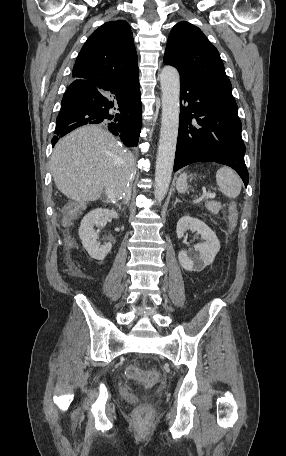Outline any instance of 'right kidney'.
<instances>
[{
	"mask_svg": "<svg viewBox=\"0 0 286 456\" xmlns=\"http://www.w3.org/2000/svg\"><path fill=\"white\" fill-rule=\"evenodd\" d=\"M112 218H118L116 211L97 208L85 215L81 221L79 237L88 254L96 260H104L110 252L112 244L109 242L100 246L97 242L98 232L94 230V226L104 227Z\"/></svg>",
	"mask_w": 286,
	"mask_h": 456,
	"instance_id": "obj_1",
	"label": "right kidney"
}]
</instances>
